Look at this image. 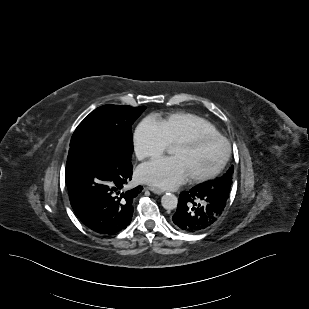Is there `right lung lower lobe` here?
<instances>
[{
  "label": "right lung lower lobe",
  "instance_id": "98d812e1",
  "mask_svg": "<svg viewBox=\"0 0 309 309\" xmlns=\"http://www.w3.org/2000/svg\"><path fill=\"white\" fill-rule=\"evenodd\" d=\"M130 159L100 142L70 147L66 184L71 206L78 218L100 234H115L131 222L133 199L143 190H127L132 178Z\"/></svg>",
  "mask_w": 309,
  "mask_h": 309
}]
</instances>
